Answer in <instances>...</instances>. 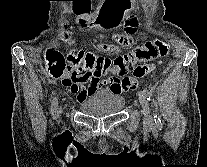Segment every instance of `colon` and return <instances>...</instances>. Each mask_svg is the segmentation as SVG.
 Instances as JSON below:
<instances>
[{"label": "colon", "mask_w": 207, "mask_h": 167, "mask_svg": "<svg viewBox=\"0 0 207 167\" xmlns=\"http://www.w3.org/2000/svg\"><path fill=\"white\" fill-rule=\"evenodd\" d=\"M126 29V26H125ZM167 52L166 44L160 39H155L146 43L143 46L133 49L131 52L120 56L114 60L113 63L105 57L97 56L94 53L86 50H73L69 56L72 63L78 64L83 62L85 69L89 74L99 77L107 74L113 70V67L118 68L120 73H125L131 70L138 62H147L149 60L161 57ZM52 65L50 73L54 78H59L63 71V62L58 54L51 56ZM153 66L151 64H144L134 69V76L137 79L144 77L151 73Z\"/></svg>", "instance_id": "5ec220e1"}]
</instances>
